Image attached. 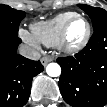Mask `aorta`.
I'll return each instance as SVG.
<instances>
[{
  "label": "aorta",
  "instance_id": "1",
  "mask_svg": "<svg viewBox=\"0 0 107 107\" xmlns=\"http://www.w3.org/2000/svg\"><path fill=\"white\" fill-rule=\"evenodd\" d=\"M46 72L51 77H58L61 74V67L57 63H49L46 67Z\"/></svg>",
  "mask_w": 107,
  "mask_h": 107
}]
</instances>
